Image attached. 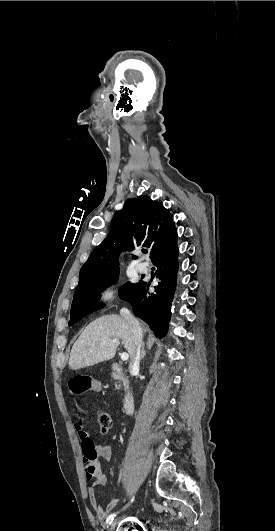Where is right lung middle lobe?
<instances>
[{
	"mask_svg": "<svg viewBox=\"0 0 275 531\" xmlns=\"http://www.w3.org/2000/svg\"><path fill=\"white\" fill-rule=\"evenodd\" d=\"M119 270L90 279L81 287L76 289L71 306V319L69 326L85 317L96 308V301L100 299L99 292H102L106 287L110 286L117 280ZM134 283L127 282L120 289V297L125 300L130 294ZM102 305V304H101ZM99 307V305H97Z\"/></svg>",
	"mask_w": 275,
	"mask_h": 531,
	"instance_id": "obj_1",
	"label": "right lung middle lobe"
}]
</instances>
